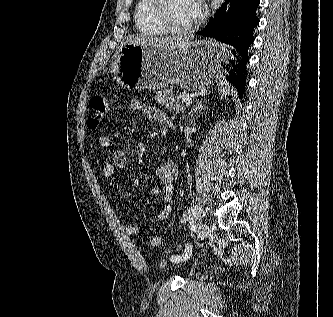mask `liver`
I'll list each match as a JSON object with an SVG mask.
<instances>
[{
	"label": "liver",
	"mask_w": 333,
	"mask_h": 317,
	"mask_svg": "<svg viewBox=\"0 0 333 317\" xmlns=\"http://www.w3.org/2000/svg\"><path fill=\"white\" fill-rule=\"evenodd\" d=\"M193 37H149L146 35H130L126 37L121 42V47L128 43L139 44V45H156V46H164L169 48L170 50L181 49L187 46Z\"/></svg>",
	"instance_id": "1"
}]
</instances>
